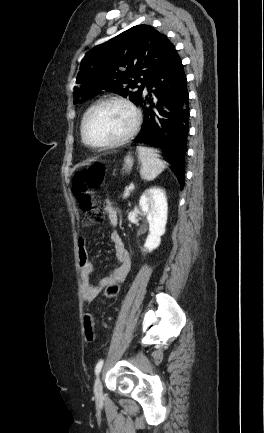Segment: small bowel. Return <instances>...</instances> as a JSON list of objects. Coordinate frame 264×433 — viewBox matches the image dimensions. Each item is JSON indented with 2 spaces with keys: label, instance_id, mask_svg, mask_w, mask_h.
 Segmentation results:
<instances>
[{
  "label": "small bowel",
  "instance_id": "c3829d8e",
  "mask_svg": "<svg viewBox=\"0 0 264 433\" xmlns=\"http://www.w3.org/2000/svg\"><path fill=\"white\" fill-rule=\"evenodd\" d=\"M104 211L107 213L109 222L113 227L118 225V213L117 210L110 200L104 201ZM114 253L118 262L117 267L107 276L99 279L98 284H93L91 276L94 272V266L89 260L88 251L86 247V241L83 238L79 239V266L80 276L82 280V293L86 303L92 302L101 293L102 289L112 283L123 282L131 270V257L126 249L122 238L117 231H114L111 235ZM84 334L87 341L92 342L95 339L94 333V318L91 313H86L83 320Z\"/></svg>",
  "mask_w": 264,
  "mask_h": 433
}]
</instances>
